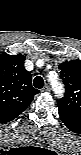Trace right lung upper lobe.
<instances>
[{
	"instance_id": "1",
	"label": "right lung upper lobe",
	"mask_w": 81,
	"mask_h": 155,
	"mask_svg": "<svg viewBox=\"0 0 81 155\" xmlns=\"http://www.w3.org/2000/svg\"><path fill=\"white\" fill-rule=\"evenodd\" d=\"M25 56L0 55V122L20 115L39 90L32 87V75L24 68Z\"/></svg>"
}]
</instances>
